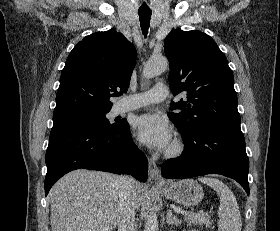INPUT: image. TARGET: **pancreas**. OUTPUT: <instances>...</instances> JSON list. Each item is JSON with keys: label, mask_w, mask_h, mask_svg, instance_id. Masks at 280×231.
Here are the masks:
<instances>
[{"label": "pancreas", "mask_w": 280, "mask_h": 231, "mask_svg": "<svg viewBox=\"0 0 280 231\" xmlns=\"http://www.w3.org/2000/svg\"><path fill=\"white\" fill-rule=\"evenodd\" d=\"M185 221H187V225H205V227H212V221H210L208 215H204V213H194V211H189V213H185L184 217Z\"/></svg>", "instance_id": "obj_1"}]
</instances>
